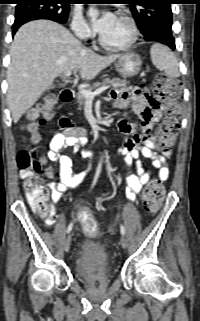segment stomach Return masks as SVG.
I'll list each match as a JSON object with an SVG mask.
<instances>
[{
  "instance_id": "1",
  "label": "stomach",
  "mask_w": 200,
  "mask_h": 321,
  "mask_svg": "<svg viewBox=\"0 0 200 321\" xmlns=\"http://www.w3.org/2000/svg\"><path fill=\"white\" fill-rule=\"evenodd\" d=\"M142 60L135 52H127L115 63L117 72L125 78L137 75L141 69Z\"/></svg>"
}]
</instances>
